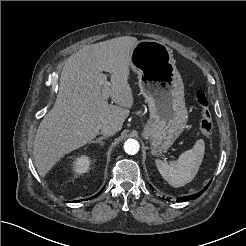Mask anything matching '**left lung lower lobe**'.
Listing matches in <instances>:
<instances>
[{
  "label": "left lung lower lobe",
  "mask_w": 246,
  "mask_h": 246,
  "mask_svg": "<svg viewBox=\"0 0 246 246\" xmlns=\"http://www.w3.org/2000/svg\"><path fill=\"white\" fill-rule=\"evenodd\" d=\"M210 184V183H209ZM209 184L199 193L194 194L192 196H187V197H180L177 199L178 202H184V201H188V200H192V199H196L197 197H199L209 186ZM152 188V187H151ZM169 200V199H168Z\"/></svg>",
  "instance_id": "0a47b994"
}]
</instances>
